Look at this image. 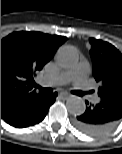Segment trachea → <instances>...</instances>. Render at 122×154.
I'll list each match as a JSON object with an SVG mask.
<instances>
[{
  "label": "trachea",
  "mask_w": 122,
  "mask_h": 154,
  "mask_svg": "<svg viewBox=\"0 0 122 154\" xmlns=\"http://www.w3.org/2000/svg\"><path fill=\"white\" fill-rule=\"evenodd\" d=\"M35 87H37V88H39V89H41V90H43L44 92H47V93H52L53 92L52 88H42V87H40L38 85H35ZM80 95H83V93H80Z\"/></svg>",
  "instance_id": "1"
}]
</instances>
